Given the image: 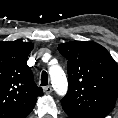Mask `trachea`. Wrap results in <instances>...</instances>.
<instances>
[{
  "label": "trachea",
  "instance_id": "obj_1",
  "mask_svg": "<svg viewBox=\"0 0 118 118\" xmlns=\"http://www.w3.org/2000/svg\"><path fill=\"white\" fill-rule=\"evenodd\" d=\"M41 85L46 86L48 85V75L47 72L43 71L41 74Z\"/></svg>",
  "mask_w": 118,
  "mask_h": 118
}]
</instances>
